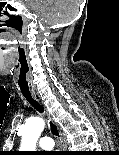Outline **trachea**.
<instances>
[{
    "mask_svg": "<svg viewBox=\"0 0 119 155\" xmlns=\"http://www.w3.org/2000/svg\"><path fill=\"white\" fill-rule=\"evenodd\" d=\"M20 90H22V96L26 98V100L31 104L32 107H34L40 113L44 112V107L33 98V96L31 95V90H29V87H20ZM50 129L54 135L59 136L57 127L53 125L51 122Z\"/></svg>",
    "mask_w": 119,
    "mask_h": 155,
    "instance_id": "1",
    "label": "trachea"
}]
</instances>
